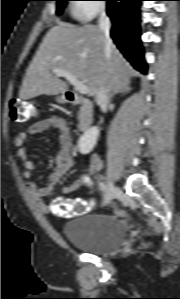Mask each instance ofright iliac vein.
I'll use <instances>...</instances> for the list:
<instances>
[{
    "label": "right iliac vein",
    "instance_id": "63e3f726",
    "mask_svg": "<svg viewBox=\"0 0 180 299\" xmlns=\"http://www.w3.org/2000/svg\"><path fill=\"white\" fill-rule=\"evenodd\" d=\"M118 192L119 189L111 181H108L104 204H109L116 197Z\"/></svg>",
    "mask_w": 180,
    "mask_h": 299
}]
</instances>
